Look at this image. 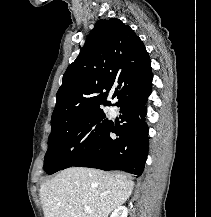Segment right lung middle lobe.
Listing matches in <instances>:
<instances>
[{"label": "right lung middle lobe", "instance_id": "1", "mask_svg": "<svg viewBox=\"0 0 211 217\" xmlns=\"http://www.w3.org/2000/svg\"><path fill=\"white\" fill-rule=\"evenodd\" d=\"M110 123L100 109L52 128L44 170L53 174L85 158L102 141Z\"/></svg>", "mask_w": 211, "mask_h": 217}]
</instances>
